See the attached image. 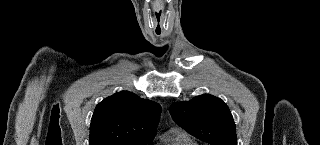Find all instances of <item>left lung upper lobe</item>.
Listing matches in <instances>:
<instances>
[{"label":"left lung upper lobe","instance_id":"5c2ea615","mask_svg":"<svg viewBox=\"0 0 320 145\" xmlns=\"http://www.w3.org/2000/svg\"><path fill=\"white\" fill-rule=\"evenodd\" d=\"M170 114L189 134L210 145H237L230 110L217 97L204 94L172 104Z\"/></svg>","mask_w":320,"mask_h":145}]
</instances>
